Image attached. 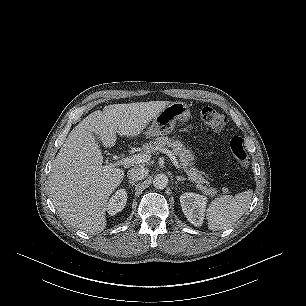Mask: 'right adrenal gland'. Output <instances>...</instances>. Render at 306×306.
Here are the masks:
<instances>
[{
  "label": "right adrenal gland",
  "mask_w": 306,
  "mask_h": 306,
  "mask_svg": "<svg viewBox=\"0 0 306 306\" xmlns=\"http://www.w3.org/2000/svg\"><path fill=\"white\" fill-rule=\"evenodd\" d=\"M128 183L133 187L135 185V182L132 180H128Z\"/></svg>",
  "instance_id": "right-adrenal-gland-1"
}]
</instances>
